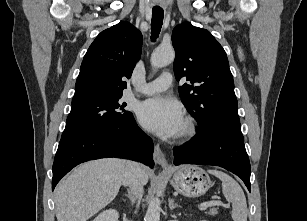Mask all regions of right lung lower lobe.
Here are the masks:
<instances>
[{"label": "right lung lower lobe", "instance_id": "right-lung-lower-lobe-1", "mask_svg": "<svg viewBox=\"0 0 307 221\" xmlns=\"http://www.w3.org/2000/svg\"><path fill=\"white\" fill-rule=\"evenodd\" d=\"M105 157L127 158L154 166L152 139L138 127L133 115L115 124L62 138L52 168V190L73 167Z\"/></svg>", "mask_w": 307, "mask_h": 221}]
</instances>
